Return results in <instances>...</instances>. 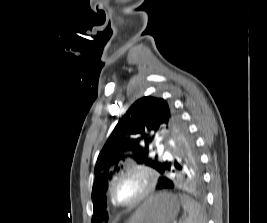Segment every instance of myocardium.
<instances>
[{
  "label": "myocardium",
  "mask_w": 267,
  "mask_h": 223,
  "mask_svg": "<svg viewBox=\"0 0 267 223\" xmlns=\"http://www.w3.org/2000/svg\"><path fill=\"white\" fill-rule=\"evenodd\" d=\"M131 173H138L145 178V180H146L145 188L135 199L128 201V202L119 201L115 195L116 183L122 177H124L128 174H131ZM157 180H158V175L153 168H151L145 164H140V163L128 164L124 169L119 171L112 178V180L110 182V186H109L110 198H111L112 202L119 207H123V208L134 207V206L138 205L139 203L143 202L144 200H146L153 193V191L155 190L156 184H157Z\"/></svg>",
  "instance_id": "obj_1"
}]
</instances>
